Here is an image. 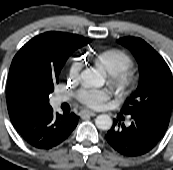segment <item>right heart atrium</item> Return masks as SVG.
<instances>
[{"label": "right heart atrium", "instance_id": "1", "mask_svg": "<svg viewBox=\"0 0 173 170\" xmlns=\"http://www.w3.org/2000/svg\"><path fill=\"white\" fill-rule=\"evenodd\" d=\"M79 68H80V64L78 62H75L72 66V73H77L79 71Z\"/></svg>", "mask_w": 173, "mask_h": 170}]
</instances>
